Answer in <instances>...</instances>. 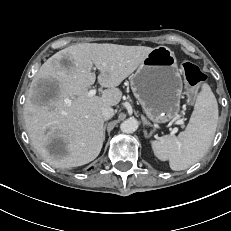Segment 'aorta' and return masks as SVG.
Masks as SVG:
<instances>
[{
  "label": "aorta",
  "mask_w": 231,
  "mask_h": 231,
  "mask_svg": "<svg viewBox=\"0 0 231 231\" xmlns=\"http://www.w3.org/2000/svg\"><path fill=\"white\" fill-rule=\"evenodd\" d=\"M139 123L136 119L129 118L123 121L120 125V129L123 133H133L137 130Z\"/></svg>",
  "instance_id": "obj_1"
}]
</instances>
